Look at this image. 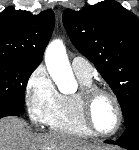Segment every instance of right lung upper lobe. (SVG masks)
I'll use <instances>...</instances> for the list:
<instances>
[{"label":"right lung upper lobe","instance_id":"1","mask_svg":"<svg viewBox=\"0 0 139 150\" xmlns=\"http://www.w3.org/2000/svg\"><path fill=\"white\" fill-rule=\"evenodd\" d=\"M55 23L54 12L38 15L7 7L0 13V59L39 65Z\"/></svg>","mask_w":139,"mask_h":150}]
</instances>
